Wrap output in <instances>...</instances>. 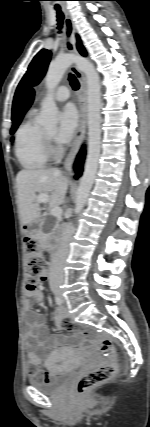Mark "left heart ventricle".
Masks as SVG:
<instances>
[{
  "label": "left heart ventricle",
  "instance_id": "1",
  "mask_svg": "<svg viewBox=\"0 0 150 427\" xmlns=\"http://www.w3.org/2000/svg\"><path fill=\"white\" fill-rule=\"evenodd\" d=\"M49 136L53 137L55 134V129H48L45 131Z\"/></svg>",
  "mask_w": 150,
  "mask_h": 427
}]
</instances>
